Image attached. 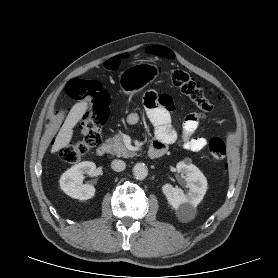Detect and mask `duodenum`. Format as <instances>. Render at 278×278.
Masks as SVG:
<instances>
[{
	"label": "duodenum",
	"instance_id": "duodenum-1",
	"mask_svg": "<svg viewBox=\"0 0 278 278\" xmlns=\"http://www.w3.org/2000/svg\"><path fill=\"white\" fill-rule=\"evenodd\" d=\"M108 151H109V146L107 144H101L97 148L96 154L98 156L102 157V156H105L108 153ZM165 151H166V148L163 145L153 143L148 150V155L151 158L156 159V158L163 156Z\"/></svg>",
	"mask_w": 278,
	"mask_h": 278
}]
</instances>
